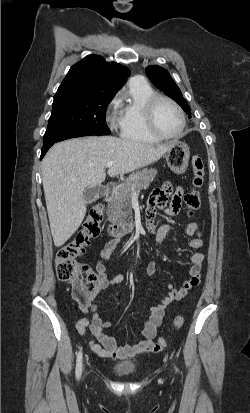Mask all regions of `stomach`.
Returning <instances> with one entry per match:
<instances>
[{
	"instance_id": "0dacf381",
	"label": "stomach",
	"mask_w": 250,
	"mask_h": 413,
	"mask_svg": "<svg viewBox=\"0 0 250 413\" xmlns=\"http://www.w3.org/2000/svg\"><path fill=\"white\" fill-rule=\"evenodd\" d=\"M189 148L179 141H173L171 148L166 152L165 158L168 167L176 174H183L189 162Z\"/></svg>"
}]
</instances>
